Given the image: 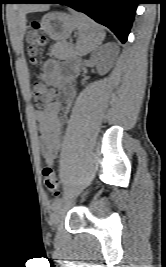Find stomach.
I'll return each mask as SVG.
<instances>
[{
    "label": "stomach",
    "instance_id": "0dacf381",
    "mask_svg": "<svg viewBox=\"0 0 166 267\" xmlns=\"http://www.w3.org/2000/svg\"><path fill=\"white\" fill-rule=\"evenodd\" d=\"M41 30L51 39L62 41L67 39L78 26L77 19L67 13L51 12L42 17Z\"/></svg>",
    "mask_w": 166,
    "mask_h": 267
}]
</instances>
